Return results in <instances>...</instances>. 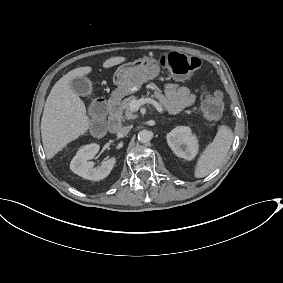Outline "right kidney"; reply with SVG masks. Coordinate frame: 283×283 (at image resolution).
<instances>
[{
	"instance_id": "1",
	"label": "right kidney",
	"mask_w": 283,
	"mask_h": 283,
	"mask_svg": "<svg viewBox=\"0 0 283 283\" xmlns=\"http://www.w3.org/2000/svg\"><path fill=\"white\" fill-rule=\"evenodd\" d=\"M100 146L92 143L80 148L70 163V169L77 175L88 179L99 181L107 177L115 162V158H110L102 162L101 166L94 168V163L88 160L93 159L98 153Z\"/></svg>"
}]
</instances>
